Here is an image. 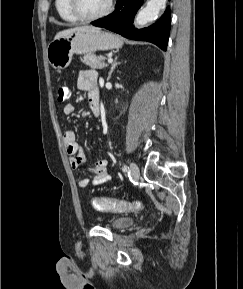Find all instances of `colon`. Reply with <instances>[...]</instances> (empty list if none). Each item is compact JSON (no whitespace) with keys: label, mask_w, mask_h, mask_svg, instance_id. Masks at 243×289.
Here are the masks:
<instances>
[{"label":"colon","mask_w":243,"mask_h":289,"mask_svg":"<svg viewBox=\"0 0 243 289\" xmlns=\"http://www.w3.org/2000/svg\"><path fill=\"white\" fill-rule=\"evenodd\" d=\"M70 95V91L67 87H60L57 92V101L59 103L65 102ZM91 203L93 207L98 211L104 212H135L143 208L142 203L138 201H124L108 198H92Z\"/></svg>","instance_id":"1"}]
</instances>
